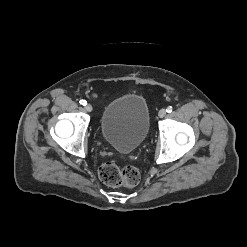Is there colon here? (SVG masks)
Here are the masks:
<instances>
[{
    "mask_svg": "<svg viewBox=\"0 0 247 247\" xmlns=\"http://www.w3.org/2000/svg\"><path fill=\"white\" fill-rule=\"evenodd\" d=\"M99 177L111 187H133L140 181L139 171L134 166L119 167L113 162H106L99 168Z\"/></svg>",
    "mask_w": 247,
    "mask_h": 247,
    "instance_id": "5ec220e1",
    "label": "colon"
}]
</instances>
